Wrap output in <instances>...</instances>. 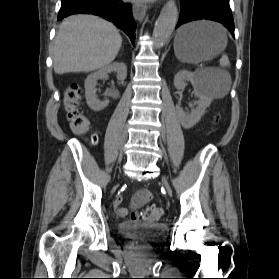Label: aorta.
Segmentation results:
<instances>
[{
    "mask_svg": "<svg viewBox=\"0 0 279 279\" xmlns=\"http://www.w3.org/2000/svg\"><path fill=\"white\" fill-rule=\"evenodd\" d=\"M178 20V9L174 0H169L161 10L154 27V46L163 47L170 39Z\"/></svg>",
    "mask_w": 279,
    "mask_h": 279,
    "instance_id": "obj_1",
    "label": "aorta"
}]
</instances>
